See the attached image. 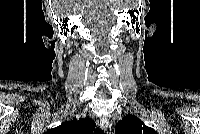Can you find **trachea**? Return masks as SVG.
Wrapping results in <instances>:
<instances>
[{"label":"trachea","instance_id":"3493384b","mask_svg":"<svg viewBox=\"0 0 200 134\" xmlns=\"http://www.w3.org/2000/svg\"><path fill=\"white\" fill-rule=\"evenodd\" d=\"M95 134H104V130H101L100 128H97L95 130Z\"/></svg>","mask_w":200,"mask_h":134}]
</instances>
